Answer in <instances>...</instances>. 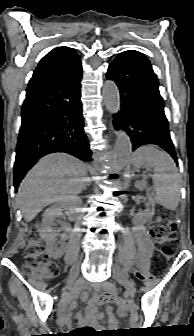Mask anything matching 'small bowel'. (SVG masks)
Wrapping results in <instances>:
<instances>
[{
  "label": "small bowel",
  "instance_id": "obj_1",
  "mask_svg": "<svg viewBox=\"0 0 194 336\" xmlns=\"http://www.w3.org/2000/svg\"><path fill=\"white\" fill-rule=\"evenodd\" d=\"M134 236L138 245V254L136 257V264L141 272H146L150 266V255L153 249L152 242L148 236V233L142 225H137L134 227ZM79 295L82 299H88L89 292H79L78 290L73 293L65 303V310L61 314L60 320L64 325H70L72 319L69 314V309L73 308L75 305L74 298ZM118 300L115 286L111 283H105L102 287L101 294H94L93 299L89 303V307L86 309L85 313L77 315L75 321L78 324H83L85 321L94 323V306L96 304H104L108 302H114ZM106 313L109 315L110 320L115 321L116 318L113 316V310L111 307L106 308Z\"/></svg>",
  "mask_w": 194,
  "mask_h": 336
}]
</instances>
